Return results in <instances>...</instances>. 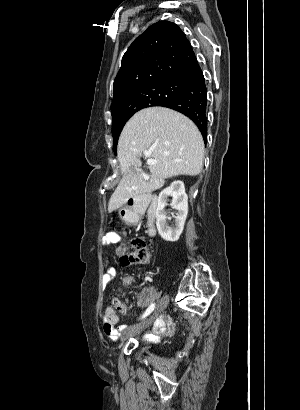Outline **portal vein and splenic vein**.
<instances>
[{"label":"portal vein and splenic vein","mask_w":300,"mask_h":410,"mask_svg":"<svg viewBox=\"0 0 300 410\" xmlns=\"http://www.w3.org/2000/svg\"><path fill=\"white\" fill-rule=\"evenodd\" d=\"M150 155V152H145V156L146 157H148ZM157 163V161L156 160H153V159H148L147 160V164L148 165H153V164H156Z\"/></svg>","instance_id":"obj_1"}]
</instances>
